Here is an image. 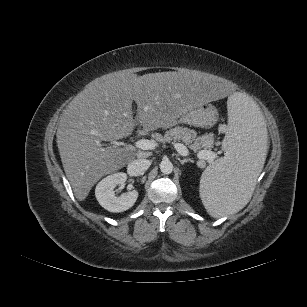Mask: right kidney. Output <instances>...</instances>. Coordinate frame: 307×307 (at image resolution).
Wrapping results in <instances>:
<instances>
[{"label":"right kidney","instance_id":"obj_1","mask_svg":"<svg viewBox=\"0 0 307 307\" xmlns=\"http://www.w3.org/2000/svg\"><path fill=\"white\" fill-rule=\"evenodd\" d=\"M127 180L126 173L118 172L102 179L96 186L95 196L99 204L110 212H123L131 208L137 198L138 191L133 190L120 196L115 195L114 188L124 184Z\"/></svg>","mask_w":307,"mask_h":307}]
</instances>
